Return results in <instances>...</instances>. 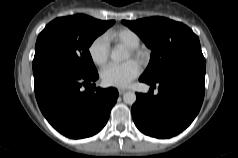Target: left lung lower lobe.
I'll list each match as a JSON object with an SVG mask.
<instances>
[{
	"label": "left lung lower lobe",
	"instance_id": "left-lung-lower-lobe-1",
	"mask_svg": "<svg viewBox=\"0 0 238 158\" xmlns=\"http://www.w3.org/2000/svg\"><path fill=\"white\" fill-rule=\"evenodd\" d=\"M205 62L175 67L151 85L147 94H136L132 116L136 127L156 138H170L186 129L198 114L205 92ZM158 85V94L153 89Z\"/></svg>",
	"mask_w": 238,
	"mask_h": 158
}]
</instances>
